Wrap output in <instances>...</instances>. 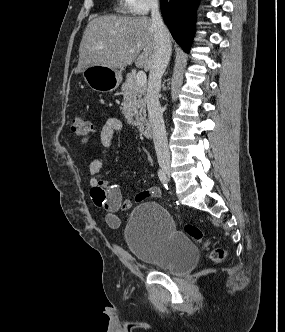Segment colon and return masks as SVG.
<instances>
[{
    "mask_svg": "<svg viewBox=\"0 0 285 332\" xmlns=\"http://www.w3.org/2000/svg\"><path fill=\"white\" fill-rule=\"evenodd\" d=\"M70 128L74 135L83 141H87L94 132L93 125L85 117L73 118L70 123ZM184 230L192 239L196 241L203 240V232L198 226L194 224H187L185 225ZM210 256L214 262H220L225 258L226 251L222 248H217L211 252Z\"/></svg>",
    "mask_w": 285,
    "mask_h": 332,
    "instance_id": "colon-1",
    "label": "colon"
}]
</instances>
